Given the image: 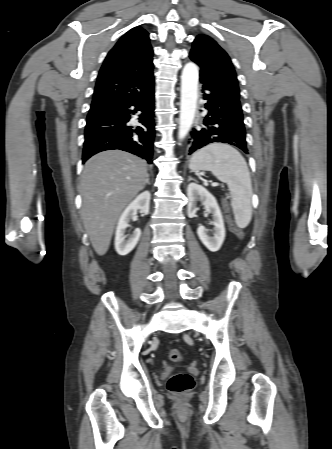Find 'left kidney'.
<instances>
[{
	"label": "left kidney",
	"mask_w": 332,
	"mask_h": 449,
	"mask_svg": "<svg viewBox=\"0 0 332 449\" xmlns=\"http://www.w3.org/2000/svg\"><path fill=\"white\" fill-rule=\"evenodd\" d=\"M188 196V217H196L197 202L201 201L208 213H212L214 225V235L211 237L206 233L205 227L200 225L197 234L201 242L211 252L218 251L225 239V227L223 217L215 197L203 186L196 183H190L187 187Z\"/></svg>",
	"instance_id": "1"
}]
</instances>
